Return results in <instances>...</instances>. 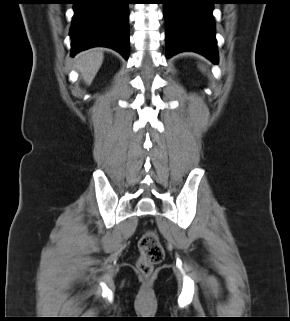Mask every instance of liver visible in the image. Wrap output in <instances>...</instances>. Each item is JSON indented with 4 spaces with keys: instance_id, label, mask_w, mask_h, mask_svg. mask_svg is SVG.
<instances>
[{
    "instance_id": "1",
    "label": "liver",
    "mask_w": 290,
    "mask_h": 321,
    "mask_svg": "<svg viewBox=\"0 0 290 321\" xmlns=\"http://www.w3.org/2000/svg\"><path fill=\"white\" fill-rule=\"evenodd\" d=\"M101 49L94 48L82 51L75 57V65L86 85H90L103 63Z\"/></svg>"
}]
</instances>
